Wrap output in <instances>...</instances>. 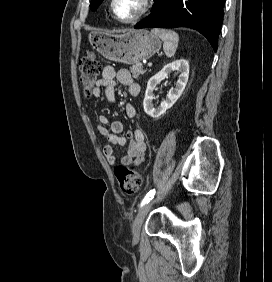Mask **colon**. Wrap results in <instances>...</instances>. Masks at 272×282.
Segmentation results:
<instances>
[{
	"instance_id": "colon-1",
	"label": "colon",
	"mask_w": 272,
	"mask_h": 282,
	"mask_svg": "<svg viewBox=\"0 0 272 282\" xmlns=\"http://www.w3.org/2000/svg\"><path fill=\"white\" fill-rule=\"evenodd\" d=\"M81 82L87 93L95 88L100 74V63L94 51H88L80 60ZM120 190L126 195H132L139 190L142 178L136 171L125 166H117L114 170Z\"/></svg>"
}]
</instances>
